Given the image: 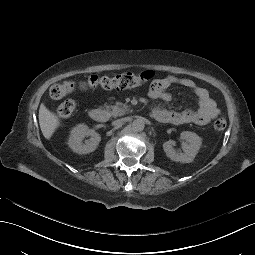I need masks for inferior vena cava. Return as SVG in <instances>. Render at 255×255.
Here are the masks:
<instances>
[{
  "label": "inferior vena cava",
  "mask_w": 255,
  "mask_h": 255,
  "mask_svg": "<svg viewBox=\"0 0 255 255\" xmlns=\"http://www.w3.org/2000/svg\"><path fill=\"white\" fill-rule=\"evenodd\" d=\"M121 123H122L121 120H115L112 122V125L117 126V125H120Z\"/></svg>",
  "instance_id": "inferior-vena-cava-1"
}]
</instances>
